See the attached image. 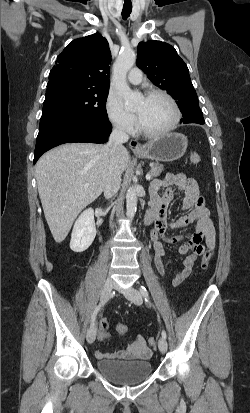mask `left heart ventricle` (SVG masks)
Instances as JSON below:
<instances>
[{"mask_svg": "<svg viewBox=\"0 0 250 413\" xmlns=\"http://www.w3.org/2000/svg\"><path fill=\"white\" fill-rule=\"evenodd\" d=\"M135 112L141 124L149 131H161L174 119L173 107L161 96L140 99Z\"/></svg>", "mask_w": 250, "mask_h": 413, "instance_id": "b2bd125f", "label": "left heart ventricle"}]
</instances>
